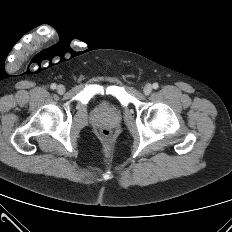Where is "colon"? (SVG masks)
I'll use <instances>...</instances> for the list:
<instances>
[{"mask_svg": "<svg viewBox=\"0 0 232 232\" xmlns=\"http://www.w3.org/2000/svg\"><path fill=\"white\" fill-rule=\"evenodd\" d=\"M101 134H102L103 137L109 138L110 135H111V132H110V130H108V129H103V130L101 131Z\"/></svg>", "mask_w": 232, "mask_h": 232, "instance_id": "colon-1", "label": "colon"}]
</instances>
